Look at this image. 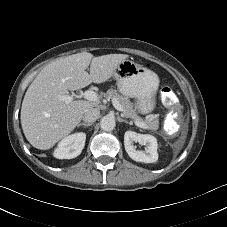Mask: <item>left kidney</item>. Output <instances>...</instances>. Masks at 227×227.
I'll return each instance as SVG.
<instances>
[{
	"mask_svg": "<svg viewBox=\"0 0 227 227\" xmlns=\"http://www.w3.org/2000/svg\"><path fill=\"white\" fill-rule=\"evenodd\" d=\"M133 142L144 145L145 151L136 150ZM124 146L129 157L137 162L154 163L158 160L157 139L152 135L126 131L124 134Z\"/></svg>",
	"mask_w": 227,
	"mask_h": 227,
	"instance_id": "obj_1",
	"label": "left kidney"
}]
</instances>
